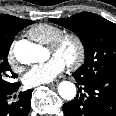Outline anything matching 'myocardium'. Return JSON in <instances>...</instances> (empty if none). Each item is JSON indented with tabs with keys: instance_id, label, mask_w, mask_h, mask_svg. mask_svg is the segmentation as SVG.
<instances>
[{
	"instance_id": "obj_1",
	"label": "myocardium",
	"mask_w": 116,
	"mask_h": 116,
	"mask_svg": "<svg viewBox=\"0 0 116 116\" xmlns=\"http://www.w3.org/2000/svg\"><path fill=\"white\" fill-rule=\"evenodd\" d=\"M71 41L76 48V54L73 59L67 62L70 68H78L82 65L86 57V48L83 39L74 32H65L58 36L50 45V50L59 51L66 42Z\"/></svg>"
}]
</instances>
